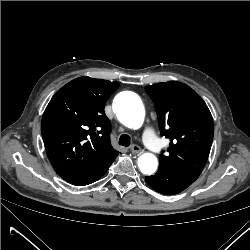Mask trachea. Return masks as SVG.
Listing matches in <instances>:
<instances>
[{
	"mask_svg": "<svg viewBox=\"0 0 250 250\" xmlns=\"http://www.w3.org/2000/svg\"><path fill=\"white\" fill-rule=\"evenodd\" d=\"M119 144L128 147L130 145V137L127 134H122L119 138Z\"/></svg>",
	"mask_w": 250,
	"mask_h": 250,
	"instance_id": "1",
	"label": "trachea"
}]
</instances>
